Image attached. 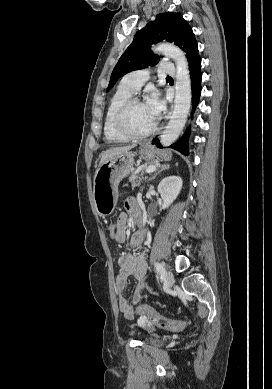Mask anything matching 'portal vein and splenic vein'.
<instances>
[{"mask_svg":"<svg viewBox=\"0 0 272 389\" xmlns=\"http://www.w3.org/2000/svg\"><path fill=\"white\" fill-rule=\"evenodd\" d=\"M155 170H156V166L151 165V166H149V167L145 170V172H146V173H152V172H154Z\"/></svg>","mask_w":272,"mask_h":389,"instance_id":"portal-vein-and-splenic-vein-1","label":"portal vein and splenic vein"}]
</instances>
